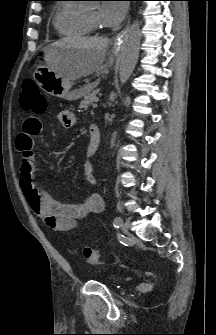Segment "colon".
<instances>
[{"label":"colon","mask_w":216,"mask_h":335,"mask_svg":"<svg viewBox=\"0 0 216 335\" xmlns=\"http://www.w3.org/2000/svg\"><path fill=\"white\" fill-rule=\"evenodd\" d=\"M21 106L24 110L41 114L47 108V101L40 88L34 80L28 79L23 83V92L20 98ZM83 255L87 263L99 264L101 262V253L92 247H84Z\"/></svg>","instance_id":"5ec220e1"}]
</instances>
